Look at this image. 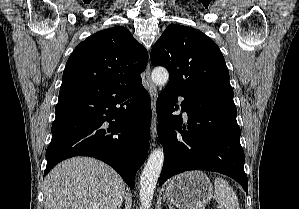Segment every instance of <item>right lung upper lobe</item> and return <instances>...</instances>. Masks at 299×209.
Masks as SVG:
<instances>
[{
  "instance_id": "right-lung-upper-lobe-1",
  "label": "right lung upper lobe",
  "mask_w": 299,
  "mask_h": 209,
  "mask_svg": "<svg viewBox=\"0 0 299 209\" xmlns=\"http://www.w3.org/2000/svg\"><path fill=\"white\" fill-rule=\"evenodd\" d=\"M148 52L129 30L117 26L92 34L67 60L60 90L93 89L107 84L141 83Z\"/></svg>"
}]
</instances>
